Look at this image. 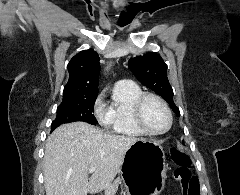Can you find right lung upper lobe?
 <instances>
[{
    "mask_svg": "<svg viewBox=\"0 0 240 195\" xmlns=\"http://www.w3.org/2000/svg\"><path fill=\"white\" fill-rule=\"evenodd\" d=\"M68 71L63 98L97 97L100 63L94 50H83L75 55L68 64Z\"/></svg>",
    "mask_w": 240,
    "mask_h": 195,
    "instance_id": "right-lung-upper-lobe-1",
    "label": "right lung upper lobe"
}]
</instances>
